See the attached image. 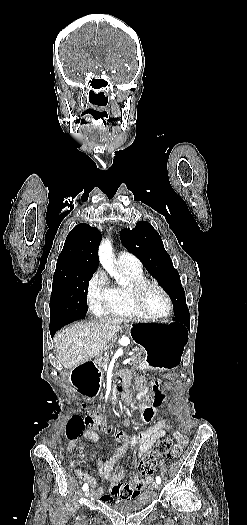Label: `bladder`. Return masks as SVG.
I'll use <instances>...</instances> for the list:
<instances>
[{
  "label": "bladder",
  "mask_w": 247,
  "mask_h": 525,
  "mask_svg": "<svg viewBox=\"0 0 247 525\" xmlns=\"http://www.w3.org/2000/svg\"><path fill=\"white\" fill-rule=\"evenodd\" d=\"M147 496L140 494L139 497H131L126 500L108 503V508L124 515H131L147 508Z\"/></svg>",
  "instance_id": "1"
}]
</instances>
